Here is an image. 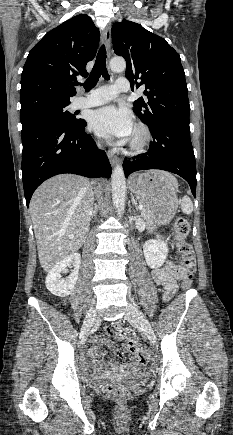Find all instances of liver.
I'll list each match as a JSON object with an SVG mask.
<instances>
[{
	"mask_svg": "<svg viewBox=\"0 0 233 435\" xmlns=\"http://www.w3.org/2000/svg\"><path fill=\"white\" fill-rule=\"evenodd\" d=\"M38 257L44 271L84 244L94 209V193L81 176L60 174L42 183L30 201ZM74 238H70V236Z\"/></svg>",
	"mask_w": 233,
	"mask_h": 435,
	"instance_id": "6515ba94",
	"label": "liver"
}]
</instances>
